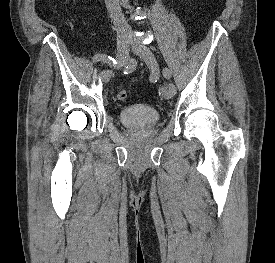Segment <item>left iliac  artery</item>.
<instances>
[{"label": "left iliac artery", "mask_w": 275, "mask_h": 263, "mask_svg": "<svg viewBox=\"0 0 275 263\" xmlns=\"http://www.w3.org/2000/svg\"><path fill=\"white\" fill-rule=\"evenodd\" d=\"M163 75H164L165 78L170 79V77H171V72H170V70L167 69V68H164V69H163ZM169 87H170V89L174 92V94H176V91H177V90H176L175 85L172 84V83H170V84H169Z\"/></svg>", "instance_id": "obj_1"}]
</instances>
